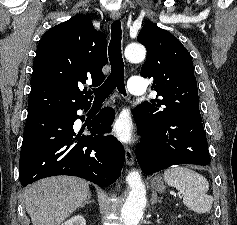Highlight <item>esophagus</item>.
<instances>
[{
    "instance_id": "34e87169",
    "label": "esophagus",
    "mask_w": 237,
    "mask_h": 225,
    "mask_svg": "<svg viewBox=\"0 0 237 225\" xmlns=\"http://www.w3.org/2000/svg\"><path fill=\"white\" fill-rule=\"evenodd\" d=\"M121 17V14L119 11H113L111 12V18L113 20H118ZM124 150H125V159H126V163L129 166H133L134 165V156L132 154L131 149L129 148V146L124 145Z\"/></svg>"
}]
</instances>
